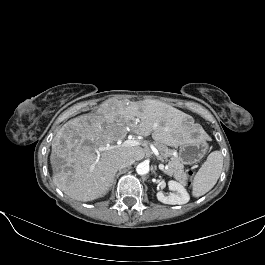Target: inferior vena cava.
<instances>
[{
  "instance_id": "inferior-vena-cava-1",
  "label": "inferior vena cava",
  "mask_w": 265,
  "mask_h": 265,
  "mask_svg": "<svg viewBox=\"0 0 265 265\" xmlns=\"http://www.w3.org/2000/svg\"><path fill=\"white\" fill-rule=\"evenodd\" d=\"M133 158H125L117 163V170L123 169L125 167H128L134 163Z\"/></svg>"
}]
</instances>
